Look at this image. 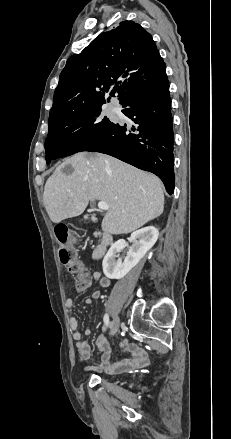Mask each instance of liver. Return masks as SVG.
Returning <instances> with one entry per match:
<instances>
[{
  "instance_id": "obj_1",
  "label": "liver",
  "mask_w": 231,
  "mask_h": 439,
  "mask_svg": "<svg viewBox=\"0 0 231 439\" xmlns=\"http://www.w3.org/2000/svg\"><path fill=\"white\" fill-rule=\"evenodd\" d=\"M91 199L109 205L102 229L114 235L137 230L164 209L158 177L101 153L65 159L45 184L43 203L54 223L81 215Z\"/></svg>"
}]
</instances>
